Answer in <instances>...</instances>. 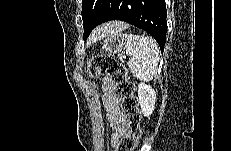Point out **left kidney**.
I'll return each mask as SVG.
<instances>
[{
    "instance_id": "left-kidney-1",
    "label": "left kidney",
    "mask_w": 231,
    "mask_h": 151,
    "mask_svg": "<svg viewBox=\"0 0 231 151\" xmlns=\"http://www.w3.org/2000/svg\"><path fill=\"white\" fill-rule=\"evenodd\" d=\"M156 92L155 90L141 82L138 84V103L145 117H149L155 108Z\"/></svg>"
}]
</instances>
